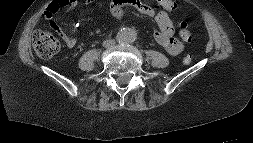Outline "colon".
I'll return each instance as SVG.
<instances>
[{
	"mask_svg": "<svg viewBox=\"0 0 253 143\" xmlns=\"http://www.w3.org/2000/svg\"><path fill=\"white\" fill-rule=\"evenodd\" d=\"M91 0H54L48 6L47 10L56 14L61 8H75ZM179 35L184 40H189L191 34L187 22L183 21L178 27ZM33 47L36 53L42 58H51L56 55L60 49V43L58 39L47 30H38L34 33ZM193 58L190 54L183 57L182 61L184 64L188 65L192 62Z\"/></svg>",
	"mask_w": 253,
	"mask_h": 143,
	"instance_id": "5ec220e1",
	"label": "colon"
}]
</instances>
